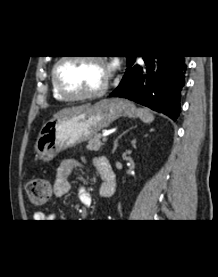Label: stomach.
<instances>
[{"label":"stomach","instance_id":"obj_1","mask_svg":"<svg viewBox=\"0 0 218 277\" xmlns=\"http://www.w3.org/2000/svg\"><path fill=\"white\" fill-rule=\"evenodd\" d=\"M137 109L128 100H101L80 113L45 123L34 145L39 159L49 162L67 148L92 139L120 117H135Z\"/></svg>","mask_w":218,"mask_h":277}]
</instances>
